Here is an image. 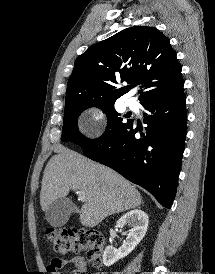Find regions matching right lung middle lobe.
<instances>
[{"instance_id":"dd1d6c3e","label":"right lung middle lobe","mask_w":215,"mask_h":274,"mask_svg":"<svg viewBox=\"0 0 215 274\" xmlns=\"http://www.w3.org/2000/svg\"><path fill=\"white\" fill-rule=\"evenodd\" d=\"M97 107L103 110L108 119V124L104 134L98 139L91 140L83 136L77 127V118L80 113L89 108ZM130 121L123 122L114 109V102H79L65 106L62 141H73L78 144L83 150L92 146L99 145L109 139L112 135L124 128Z\"/></svg>"}]
</instances>
